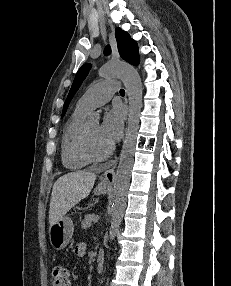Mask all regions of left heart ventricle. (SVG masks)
<instances>
[{"label":"left heart ventricle","instance_id":"left-heart-ventricle-1","mask_svg":"<svg viewBox=\"0 0 231 286\" xmlns=\"http://www.w3.org/2000/svg\"><path fill=\"white\" fill-rule=\"evenodd\" d=\"M98 122L87 123L88 143L94 155L104 154L110 147L101 137Z\"/></svg>","mask_w":231,"mask_h":286}]
</instances>
